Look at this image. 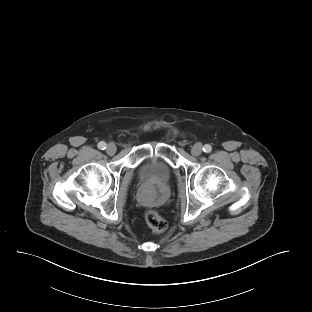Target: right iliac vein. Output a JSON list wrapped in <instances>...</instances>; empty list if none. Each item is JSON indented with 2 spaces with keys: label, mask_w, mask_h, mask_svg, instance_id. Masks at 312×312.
<instances>
[{
  "label": "right iliac vein",
  "mask_w": 312,
  "mask_h": 312,
  "mask_svg": "<svg viewBox=\"0 0 312 312\" xmlns=\"http://www.w3.org/2000/svg\"><path fill=\"white\" fill-rule=\"evenodd\" d=\"M116 145L114 143H109L106 147V152L109 154V155H113L116 153Z\"/></svg>",
  "instance_id": "right-iliac-vein-1"
}]
</instances>
